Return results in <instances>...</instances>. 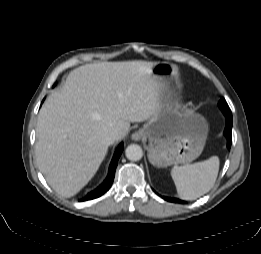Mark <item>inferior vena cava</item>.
I'll list each match as a JSON object with an SVG mask.
<instances>
[{"mask_svg": "<svg viewBox=\"0 0 261 254\" xmlns=\"http://www.w3.org/2000/svg\"><path fill=\"white\" fill-rule=\"evenodd\" d=\"M119 137V132L118 131H112L111 133H109L106 137V142L108 145L114 143V141H116Z\"/></svg>", "mask_w": 261, "mask_h": 254, "instance_id": "602c4592", "label": "inferior vena cava"}]
</instances>
